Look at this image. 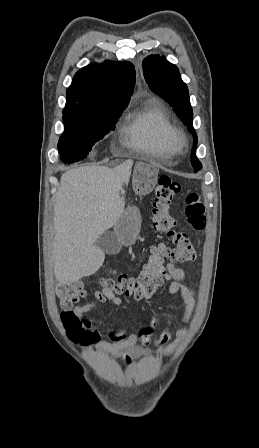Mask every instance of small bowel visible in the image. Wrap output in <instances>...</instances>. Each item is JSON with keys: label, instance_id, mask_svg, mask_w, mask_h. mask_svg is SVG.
Returning <instances> with one entry per match:
<instances>
[{"label": "small bowel", "instance_id": "1", "mask_svg": "<svg viewBox=\"0 0 259 448\" xmlns=\"http://www.w3.org/2000/svg\"><path fill=\"white\" fill-rule=\"evenodd\" d=\"M184 277L185 273L181 268L171 262L167 264L164 279L170 282V294L181 295L184 302V313L182 320L183 322H186L192 314L195 300L193 291L182 284ZM99 303L120 306L122 304V300L114 292L103 286L101 290L94 292L93 302L76 306L72 311L81 319ZM84 324L87 330V336L83 341L85 346L94 348L102 353L119 355L129 363L133 358H139L148 354V350L139 346L138 342L142 341L147 344L151 341L152 331L156 328L158 321L156 318L151 319L148 327L139 331L132 330L130 332H110L108 340L100 339V334L95 329L91 320H85ZM176 335V341H174L166 349L159 348L157 353L160 355L171 354L185 335V331L177 330ZM170 339L171 332L169 330H164L156 339L155 343L160 347L169 342Z\"/></svg>", "mask_w": 259, "mask_h": 448}]
</instances>
